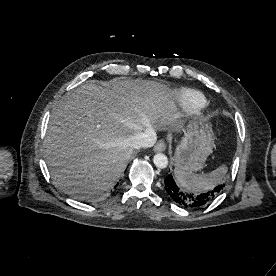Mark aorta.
<instances>
[{
  "label": "aorta",
  "instance_id": "1",
  "mask_svg": "<svg viewBox=\"0 0 276 276\" xmlns=\"http://www.w3.org/2000/svg\"><path fill=\"white\" fill-rule=\"evenodd\" d=\"M153 162L157 168L164 169L168 166V158L163 153H157L153 157Z\"/></svg>",
  "mask_w": 276,
  "mask_h": 276
}]
</instances>
